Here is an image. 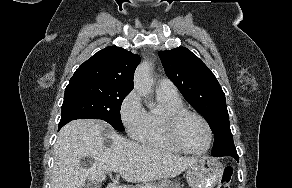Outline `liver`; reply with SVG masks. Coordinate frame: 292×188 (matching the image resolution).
<instances>
[{"label": "liver", "instance_id": "liver-1", "mask_svg": "<svg viewBox=\"0 0 292 188\" xmlns=\"http://www.w3.org/2000/svg\"><path fill=\"white\" fill-rule=\"evenodd\" d=\"M111 139L110 147L104 145ZM91 157L85 168L81 159ZM197 157H180L168 151L140 145L116 133L110 125L96 120H75L59 132L54 148L52 188H80L87 180L102 182L114 167L129 182H148L175 177L196 163Z\"/></svg>", "mask_w": 292, "mask_h": 188}]
</instances>
